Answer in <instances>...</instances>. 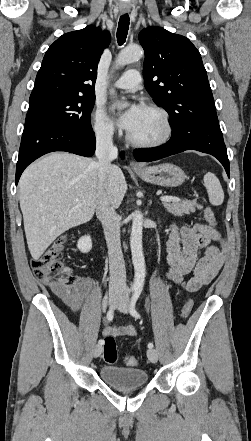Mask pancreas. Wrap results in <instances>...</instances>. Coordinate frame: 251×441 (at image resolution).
<instances>
[{
  "label": "pancreas",
  "instance_id": "1",
  "mask_svg": "<svg viewBox=\"0 0 251 441\" xmlns=\"http://www.w3.org/2000/svg\"><path fill=\"white\" fill-rule=\"evenodd\" d=\"M167 211L175 216H183L184 214H190V212H195L197 209H202L203 207L197 204L196 200L188 201H175L172 203H164Z\"/></svg>",
  "mask_w": 251,
  "mask_h": 441
}]
</instances>
